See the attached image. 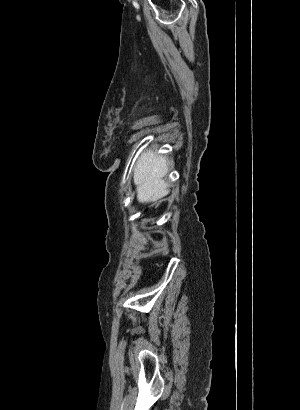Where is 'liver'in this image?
<instances>
[{
	"instance_id": "liver-1",
	"label": "liver",
	"mask_w": 300,
	"mask_h": 410,
	"mask_svg": "<svg viewBox=\"0 0 300 410\" xmlns=\"http://www.w3.org/2000/svg\"><path fill=\"white\" fill-rule=\"evenodd\" d=\"M168 172V159L149 149L141 154L134 168V183L140 203L155 202L169 193L163 177Z\"/></svg>"
}]
</instances>
